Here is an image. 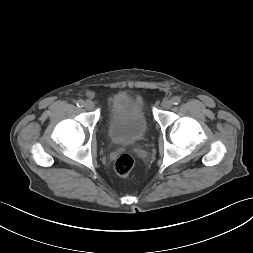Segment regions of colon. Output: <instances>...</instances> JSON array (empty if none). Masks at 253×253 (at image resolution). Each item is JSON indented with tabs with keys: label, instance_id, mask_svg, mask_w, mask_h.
<instances>
[{
	"label": "colon",
	"instance_id": "5ec220e1",
	"mask_svg": "<svg viewBox=\"0 0 253 253\" xmlns=\"http://www.w3.org/2000/svg\"><path fill=\"white\" fill-rule=\"evenodd\" d=\"M134 167V159L129 154H122L115 162L114 169L118 176L128 177Z\"/></svg>",
	"mask_w": 253,
	"mask_h": 253
}]
</instances>
